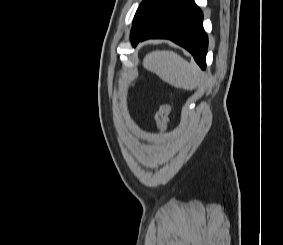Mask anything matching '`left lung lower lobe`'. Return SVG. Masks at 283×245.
<instances>
[{"mask_svg": "<svg viewBox=\"0 0 283 245\" xmlns=\"http://www.w3.org/2000/svg\"><path fill=\"white\" fill-rule=\"evenodd\" d=\"M202 20L203 14L194 0H175L146 32L132 41V45L150 38L170 39L188 50L205 69L208 38Z\"/></svg>", "mask_w": 283, "mask_h": 245, "instance_id": "1", "label": "left lung lower lobe"}]
</instances>
